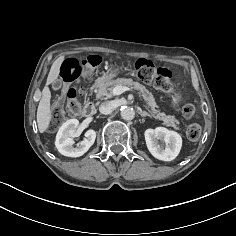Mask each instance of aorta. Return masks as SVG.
<instances>
[{
  "label": "aorta",
  "mask_w": 236,
  "mask_h": 236,
  "mask_svg": "<svg viewBox=\"0 0 236 236\" xmlns=\"http://www.w3.org/2000/svg\"><path fill=\"white\" fill-rule=\"evenodd\" d=\"M121 117L124 120H132L135 117V111L131 107H125L121 110Z\"/></svg>",
  "instance_id": "762f6f07"
}]
</instances>
